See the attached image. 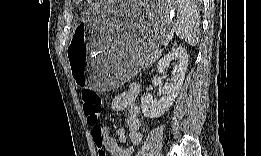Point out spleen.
Instances as JSON below:
<instances>
[{
    "mask_svg": "<svg viewBox=\"0 0 261 156\" xmlns=\"http://www.w3.org/2000/svg\"><path fill=\"white\" fill-rule=\"evenodd\" d=\"M174 10L178 18L174 26L177 37L195 46L199 39V17L195 5L190 0H181Z\"/></svg>",
    "mask_w": 261,
    "mask_h": 156,
    "instance_id": "1",
    "label": "spleen"
}]
</instances>
